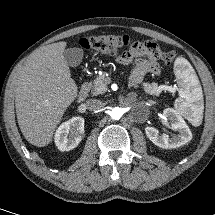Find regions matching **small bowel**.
<instances>
[{
    "mask_svg": "<svg viewBox=\"0 0 215 215\" xmlns=\"http://www.w3.org/2000/svg\"><path fill=\"white\" fill-rule=\"evenodd\" d=\"M161 51L152 41L136 42L128 51L117 57L121 65L134 64L130 75L131 85L140 84L147 74L159 75L161 73L158 59Z\"/></svg>",
    "mask_w": 215,
    "mask_h": 215,
    "instance_id": "small-bowel-1",
    "label": "small bowel"
}]
</instances>
